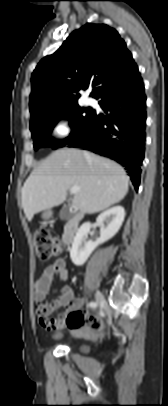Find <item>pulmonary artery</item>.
<instances>
[{
	"label": "pulmonary artery",
	"mask_w": 168,
	"mask_h": 406,
	"mask_svg": "<svg viewBox=\"0 0 168 406\" xmlns=\"http://www.w3.org/2000/svg\"><path fill=\"white\" fill-rule=\"evenodd\" d=\"M85 103H86L87 105H91V104L93 103V99H92L91 97H86Z\"/></svg>",
	"instance_id": "pulmonary-artery-1"
}]
</instances>
